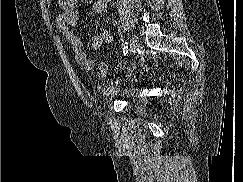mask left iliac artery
<instances>
[{
  "label": "left iliac artery",
  "mask_w": 243,
  "mask_h": 182,
  "mask_svg": "<svg viewBox=\"0 0 243 182\" xmlns=\"http://www.w3.org/2000/svg\"><path fill=\"white\" fill-rule=\"evenodd\" d=\"M128 53V42L125 40L123 44V54L126 56Z\"/></svg>",
  "instance_id": "44dca946"
}]
</instances>
